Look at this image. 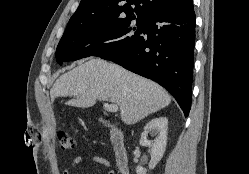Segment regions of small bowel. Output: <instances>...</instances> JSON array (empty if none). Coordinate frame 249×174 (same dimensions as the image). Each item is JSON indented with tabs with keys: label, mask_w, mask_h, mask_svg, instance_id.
Instances as JSON below:
<instances>
[{
	"label": "small bowel",
	"mask_w": 249,
	"mask_h": 174,
	"mask_svg": "<svg viewBox=\"0 0 249 174\" xmlns=\"http://www.w3.org/2000/svg\"><path fill=\"white\" fill-rule=\"evenodd\" d=\"M90 160L93 162V163H96V164H99V165H102L106 168L109 169V172L108 174H114L113 171L111 170L110 168V162L103 156H99V155H94L90 158ZM83 161V157L82 156H77L75 157L71 163H70V166L67 167L63 174H70L71 173V170L76 168L81 162Z\"/></svg>",
	"instance_id": "c3829d8e"
}]
</instances>
